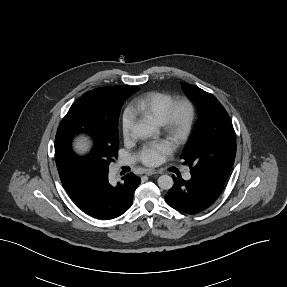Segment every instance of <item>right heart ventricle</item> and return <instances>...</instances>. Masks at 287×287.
Instances as JSON below:
<instances>
[{
  "instance_id": "1",
  "label": "right heart ventricle",
  "mask_w": 287,
  "mask_h": 287,
  "mask_svg": "<svg viewBox=\"0 0 287 287\" xmlns=\"http://www.w3.org/2000/svg\"><path fill=\"white\" fill-rule=\"evenodd\" d=\"M174 102V97L165 92L151 91L134 100L131 110L134 114L149 118L161 125L169 107Z\"/></svg>"
}]
</instances>
